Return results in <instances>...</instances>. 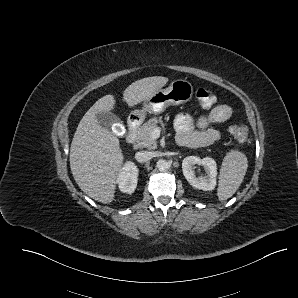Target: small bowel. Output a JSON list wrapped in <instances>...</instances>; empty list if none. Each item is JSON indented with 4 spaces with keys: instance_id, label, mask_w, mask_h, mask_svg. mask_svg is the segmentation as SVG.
<instances>
[{
    "instance_id": "c3829d8e",
    "label": "small bowel",
    "mask_w": 298,
    "mask_h": 298,
    "mask_svg": "<svg viewBox=\"0 0 298 298\" xmlns=\"http://www.w3.org/2000/svg\"><path fill=\"white\" fill-rule=\"evenodd\" d=\"M232 108L226 104L215 106L208 115L201 117L196 122L199 130H195V122L190 115L182 113L175 118V127L179 134H187L197 137L201 145L205 146L217 142L220 139V133L212 126L230 119Z\"/></svg>"
}]
</instances>
